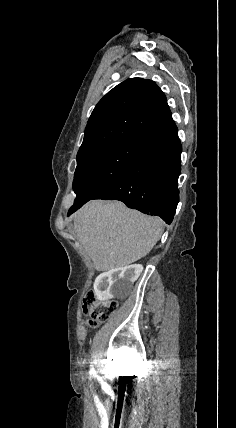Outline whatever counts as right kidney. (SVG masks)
Listing matches in <instances>:
<instances>
[{"label": "right kidney", "instance_id": "right-kidney-1", "mask_svg": "<svg viewBox=\"0 0 236 428\" xmlns=\"http://www.w3.org/2000/svg\"><path fill=\"white\" fill-rule=\"evenodd\" d=\"M141 272H143L141 264H131L125 268L103 269L95 278L94 290L97 300L103 303L105 301H125L128 298L127 292L132 291V284L138 280Z\"/></svg>", "mask_w": 236, "mask_h": 428}]
</instances>
